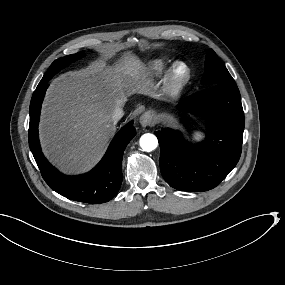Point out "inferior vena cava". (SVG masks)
Wrapping results in <instances>:
<instances>
[{
  "mask_svg": "<svg viewBox=\"0 0 285 285\" xmlns=\"http://www.w3.org/2000/svg\"><path fill=\"white\" fill-rule=\"evenodd\" d=\"M124 115L122 107H118L114 110L112 115V120L114 124H116Z\"/></svg>",
  "mask_w": 285,
  "mask_h": 285,
  "instance_id": "obj_1",
  "label": "inferior vena cava"
}]
</instances>
